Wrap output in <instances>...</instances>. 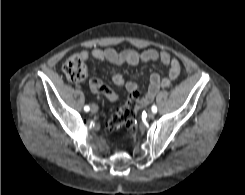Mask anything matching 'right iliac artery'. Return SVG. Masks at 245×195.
Segmentation results:
<instances>
[{
  "mask_svg": "<svg viewBox=\"0 0 245 195\" xmlns=\"http://www.w3.org/2000/svg\"><path fill=\"white\" fill-rule=\"evenodd\" d=\"M89 110H90V107L86 105V106L84 107V111L88 112Z\"/></svg>",
  "mask_w": 245,
  "mask_h": 195,
  "instance_id": "obj_1",
  "label": "right iliac artery"
}]
</instances>
